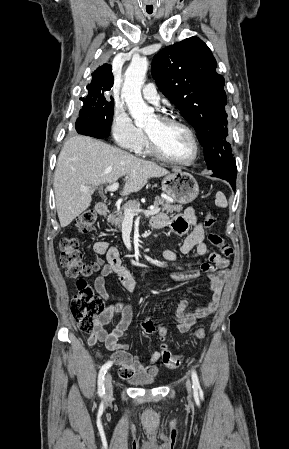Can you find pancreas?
I'll use <instances>...</instances> for the list:
<instances>
[{"label": "pancreas", "instance_id": "1", "mask_svg": "<svg viewBox=\"0 0 289 449\" xmlns=\"http://www.w3.org/2000/svg\"><path fill=\"white\" fill-rule=\"evenodd\" d=\"M159 205L162 206V210L166 211L167 213L180 212L183 209V207L181 205H174L171 202H169L163 198L156 197L155 201H154V206L158 207ZM126 208H131V209L140 208V203H139L138 199L137 200H129L123 206V209L121 211H117V212L110 214L107 218L108 223L115 225V226H121V224L125 218L124 211Z\"/></svg>", "mask_w": 289, "mask_h": 449}]
</instances>
